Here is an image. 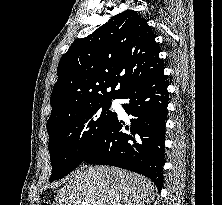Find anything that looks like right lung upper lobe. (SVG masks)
<instances>
[{"label":"right lung upper lobe","instance_id":"obj_1","mask_svg":"<svg viewBox=\"0 0 222 205\" xmlns=\"http://www.w3.org/2000/svg\"><path fill=\"white\" fill-rule=\"evenodd\" d=\"M155 38L146 19L126 10L74 41L57 68L47 125L90 105L121 98L129 87L164 68Z\"/></svg>","mask_w":222,"mask_h":205}]
</instances>
